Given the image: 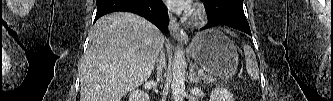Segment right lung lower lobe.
Segmentation results:
<instances>
[{"mask_svg": "<svg viewBox=\"0 0 333 101\" xmlns=\"http://www.w3.org/2000/svg\"><path fill=\"white\" fill-rule=\"evenodd\" d=\"M116 11L138 14L155 24L160 30L168 29V14L161 0H97L94 22L101 16Z\"/></svg>", "mask_w": 333, "mask_h": 101, "instance_id": "right-lung-lower-lobe-1", "label": "right lung lower lobe"}]
</instances>
